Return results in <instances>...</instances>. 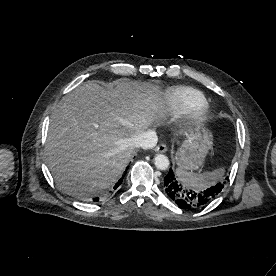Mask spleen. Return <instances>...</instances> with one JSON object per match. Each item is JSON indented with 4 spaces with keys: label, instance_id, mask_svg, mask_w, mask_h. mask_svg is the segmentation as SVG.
<instances>
[{
    "label": "spleen",
    "instance_id": "obj_1",
    "mask_svg": "<svg viewBox=\"0 0 276 276\" xmlns=\"http://www.w3.org/2000/svg\"><path fill=\"white\" fill-rule=\"evenodd\" d=\"M176 174L178 176V179L185 186L200 190L206 189L216 184L222 178L224 174V169L220 168L211 172H204L201 174L177 169Z\"/></svg>",
    "mask_w": 276,
    "mask_h": 276
}]
</instances>
